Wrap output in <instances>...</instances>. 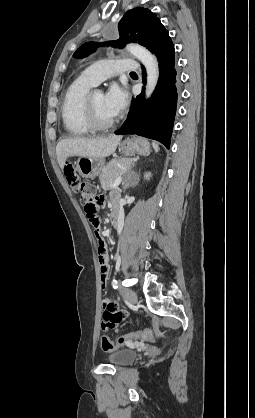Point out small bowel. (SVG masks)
<instances>
[{
    "mask_svg": "<svg viewBox=\"0 0 255 418\" xmlns=\"http://www.w3.org/2000/svg\"><path fill=\"white\" fill-rule=\"evenodd\" d=\"M117 193H112V198L115 200L117 198ZM115 205V204H114ZM96 249L95 254L98 256L99 265H100V282L103 290L107 287V281L109 276V262L107 254V240L103 238L102 235L96 236ZM103 320L104 328L112 329L117 324H119L125 317L128 316L127 311H120L118 303L108 297L103 298Z\"/></svg>",
    "mask_w": 255,
    "mask_h": 418,
    "instance_id": "1",
    "label": "small bowel"
}]
</instances>
